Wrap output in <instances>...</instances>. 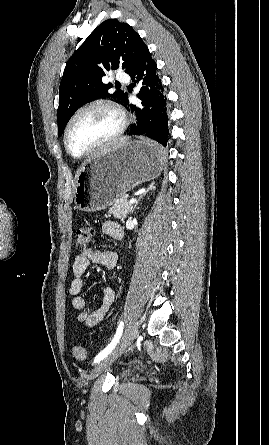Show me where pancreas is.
I'll return each instance as SVG.
<instances>
[{
    "label": "pancreas",
    "mask_w": 269,
    "mask_h": 445,
    "mask_svg": "<svg viewBox=\"0 0 269 445\" xmlns=\"http://www.w3.org/2000/svg\"><path fill=\"white\" fill-rule=\"evenodd\" d=\"M132 204L128 201V196L123 195L119 197L114 205L109 209V213L116 218H126L129 213L132 212Z\"/></svg>",
    "instance_id": "obj_1"
}]
</instances>
